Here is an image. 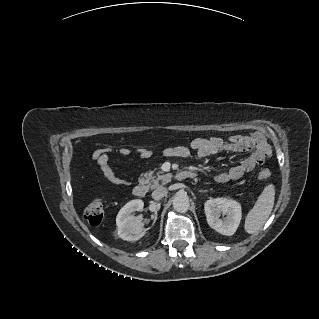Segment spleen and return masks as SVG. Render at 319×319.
Masks as SVG:
<instances>
[{
    "label": "spleen",
    "mask_w": 319,
    "mask_h": 319,
    "mask_svg": "<svg viewBox=\"0 0 319 319\" xmlns=\"http://www.w3.org/2000/svg\"><path fill=\"white\" fill-rule=\"evenodd\" d=\"M274 200L275 187L269 184L264 188L245 218L244 229L247 233L253 234L265 224L272 212Z\"/></svg>",
    "instance_id": "obj_1"
}]
</instances>
